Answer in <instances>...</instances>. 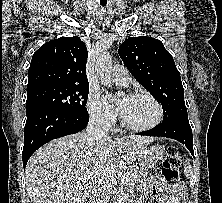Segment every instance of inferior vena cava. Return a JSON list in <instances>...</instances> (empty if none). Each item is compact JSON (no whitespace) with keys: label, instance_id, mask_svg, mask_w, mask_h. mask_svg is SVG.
Here are the masks:
<instances>
[{"label":"inferior vena cava","instance_id":"obj_1","mask_svg":"<svg viewBox=\"0 0 222 203\" xmlns=\"http://www.w3.org/2000/svg\"><path fill=\"white\" fill-rule=\"evenodd\" d=\"M86 132L88 136L95 139L107 137L104 130L101 128V118L95 115L91 116L88 125L86 127Z\"/></svg>","mask_w":222,"mask_h":203}]
</instances>
